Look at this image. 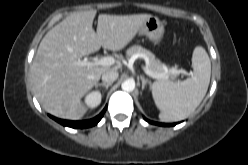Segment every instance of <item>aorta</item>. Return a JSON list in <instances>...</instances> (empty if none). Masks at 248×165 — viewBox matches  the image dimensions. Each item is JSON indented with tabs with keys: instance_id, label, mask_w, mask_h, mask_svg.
<instances>
[{
	"instance_id": "1",
	"label": "aorta",
	"mask_w": 248,
	"mask_h": 165,
	"mask_svg": "<svg viewBox=\"0 0 248 165\" xmlns=\"http://www.w3.org/2000/svg\"><path fill=\"white\" fill-rule=\"evenodd\" d=\"M121 88L123 91L132 92L135 89V81L127 79L122 83Z\"/></svg>"
}]
</instances>
